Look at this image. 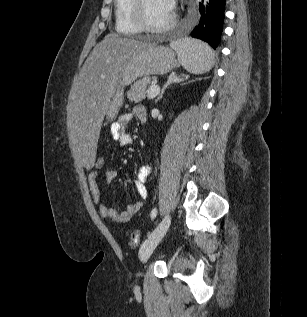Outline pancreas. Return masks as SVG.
Wrapping results in <instances>:
<instances>
[{
  "label": "pancreas",
  "instance_id": "pancreas-1",
  "mask_svg": "<svg viewBox=\"0 0 307 317\" xmlns=\"http://www.w3.org/2000/svg\"><path fill=\"white\" fill-rule=\"evenodd\" d=\"M150 82L151 79L149 77H144L136 81L127 92L129 101L135 103L143 101L147 95V86Z\"/></svg>",
  "mask_w": 307,
  "mask_h": 317
}]
</instances>
